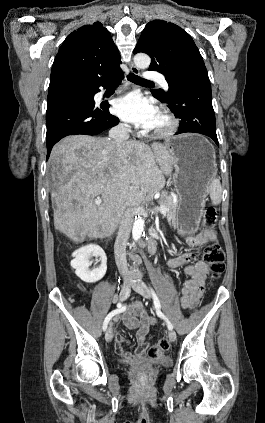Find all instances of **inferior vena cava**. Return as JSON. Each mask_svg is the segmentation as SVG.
I'll list each match as a JSON object with an SVG mask.
<instances>
[{"label":"inferior vena cava","instance_id":"inferior-vena-cava-1","mask_svg":"<svg viewBox=\"0 0 265 423\" xmlns=\"http://www.w3.org/2000/svg\"><path fill=\"white\" fill-rule=\"evenodd\" d=\"M130 132L131 128L129 125L120 123L110 129L109 141L114 144L119 150H122L125 144L128 142ZM133 217L134 212L132 208H127L122 216L119 231L114 244V255L116 265L122 275L128 274L126 245L131 232Z\"/></svg>","mask_w":265,"mask_h":423}]
</instances>
